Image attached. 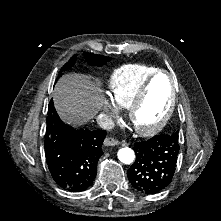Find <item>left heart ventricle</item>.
I'll return each instance as SVG.
<instances>
[{
	"label": "left heart ventricle",
	"instance_id": "left-heart-ventricle-1",
	"mask_svg": "<svg viewBox=\"0 0 221 221\" xmlns=\"http://www.w3.org/2000/svg\"><path fill=\"white\" fill-rule=\"evenodd\" d=\"M171 99V82L168 76L159 75L151 85L147 98L135 116L139 126H153L165 115Z\"/></svg>",
	"mask_w": 221,
	"mask_h": 221
}]
</instances>
